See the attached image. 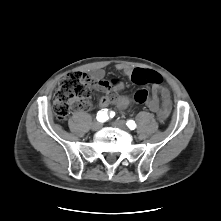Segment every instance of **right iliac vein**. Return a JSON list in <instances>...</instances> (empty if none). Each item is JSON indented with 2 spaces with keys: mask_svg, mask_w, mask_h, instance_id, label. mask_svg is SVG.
Listing matches in <instances>:
<instances>
[{
  "mask_svg": "<svg viewBox=\"0 0 221 221\" xmlns=\"http://www.w3.org/2000/svg\"><path fill=\"white\" fill-rule=\"evenodd\" d=\"M101 128H102V123L99 122V121H94V122L92 123V125H91V129H92L93 131H98V130H100Z\"/></svg>",
  "mask_w": 221,
  "mask_h": 221,
  "instance_id": "obj_1",
  "label": "right iliac vein"
}]
</instances>
